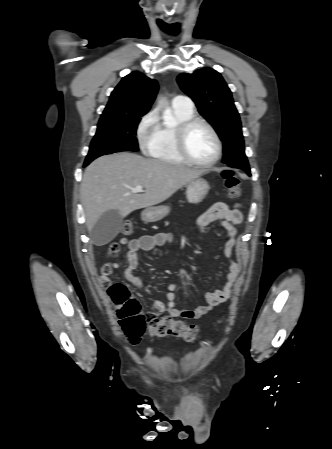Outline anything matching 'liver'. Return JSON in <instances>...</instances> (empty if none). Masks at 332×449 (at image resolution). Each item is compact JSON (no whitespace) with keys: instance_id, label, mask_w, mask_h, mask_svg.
Wrapping results in <instances>:
<instances>
[{"instance_id":"obj_1","label":"liver","mask_w":332,"mask_h":449,"mask_svg":"<svg viewBox=\"0 0 332 449\" xmlns=\"http://www.w3.org/2000/svg\"><path fill=\"white\" fill-rule=\"evenodd\" d=\"M203 171L133 153H117L94 160L84 172L80 188L88 231L108 210L121 217L167 200ZM140 185L143 193H132Z\"/></svg>"}]
</instances>
